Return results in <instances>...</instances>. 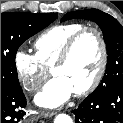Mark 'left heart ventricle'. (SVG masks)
I'll return each instance as SVG.
<instances>
[{"label":"left heart ventricle","instance_id":"left-heart-ventricle-1","mask_svg":"<svg viewBox=\"0 0 123 123\" xmlns=\"http://www.w3.org/2000/svg\"><path fill=\"white\" fill-rule=\"evenodd\" d=\"M100 62V45L93 33L83 36L76 44L69 61L54 71L64 78L73 91L84 88L95 75Z\"/></svg>","mask_w":123,"mask_h":123}]
</instances>
